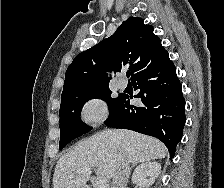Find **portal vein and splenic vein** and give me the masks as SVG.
<instances>
[{
    "mask_svg": "<svg viewBox=\"0 0 224 188\" xmlns=\"http://www.w3.org/2000/svg\"><path fill=\"white\" fill-rule=\"evenodd\" d=\"M88 170H89L88 168H84V169L78 170L77 173H83ZM95 186L96 188H108V180L105 177L98 176L95 181Z\"/></svg>",
    "mask_w": 224,
    "mask_h": 188,
    "instance_id": "obj_1",
    "label": "portal vein and splenic vein"
}]
</instances>
